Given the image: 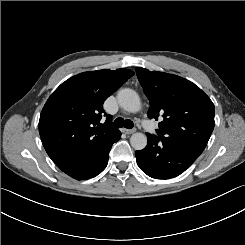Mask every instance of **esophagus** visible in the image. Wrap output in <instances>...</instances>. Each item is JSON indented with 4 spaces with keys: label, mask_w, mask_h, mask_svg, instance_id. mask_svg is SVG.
<instances>
[{
    "label": "esophagus",
    "mask_w": 245,
    "mask_h": 245,
    "mask_svg": "<svg viewBox=\"0 0 245 245\" xmlns=\"http://www.w3.org/2000/svg\"><path fill=\"white\" fill-rule=\"evenodd\" d=\"M122 131L125 134H133L134 132H136V129L135 128H133V129H122Z\"/></svg>",
    "instance_id": "1"
}]
</instances>
